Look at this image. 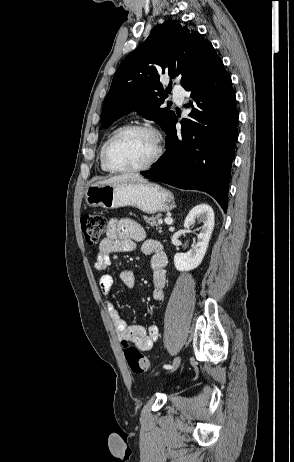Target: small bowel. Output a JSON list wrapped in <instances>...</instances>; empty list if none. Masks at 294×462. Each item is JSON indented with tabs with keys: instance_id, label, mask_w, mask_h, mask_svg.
<instances>
[{
	"instance_id": "1",
	"label": "small bowel",
	"mask_w": 294,
	"mask_h": 462,
	"mask_svg": "<svg viewBox=\"0 0 294 462\" xmlns=\"http://www.w3.org/2000/svg\"><path fill=\"white\" fill-rule=\"evenodd\" d=\"M144 236L143 228L132 219H111L108 222L106 237L99 244L94 267L98 271H105L112 263V254L133 251L137 242H142V252L146 255H151L152 298L155 301H162L166 286L165 267L167 257L160 242L152 239L144 240ZM119 278L124 286L128 288L134 287L136 278L132 270H122ZM99 286L103 294L108 295L113 286L112 276L103 274L99 279ZM106 306L109 317L122 342L127 341L141 351H149L153 347L159 337V329L156 325H150L147 328L138 324L128 325L112 302L107 301Z\"/></svg>"
}]
</instances>
